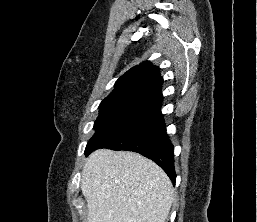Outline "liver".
<instances>
[{"instance_id": "1", "label": "liver", "mask_w": 257, "mask_h": 222, "mask_svg": "<svg viewBox=\"0 0 257 222\" xmlns=\"http://www.w3.org/2000/svg\"><path fill=\"white\" fill-rule=\"evenodd\" d=\"M87 222H166L173 187L153 161L129 151L99 149L83 167Z\"/></svg>"}]
</instances>
